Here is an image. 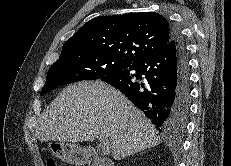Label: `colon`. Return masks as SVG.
<instances>
[{
    "label": "colon",
    "instance_id": "5ec220e1",
    "mask_svg": "<svg viewBox=\"0 0 231 166\" xmlns=\"http://www.w3.org/2000/svg\"><path fill=\"white\" fill-rule=\"evenodd\" d=\"M47 166H57V164L53 159H49L47 162Z\"/></svg>",
    "mask_w": 231,
    "mask_h": 166
}]
</instances>
